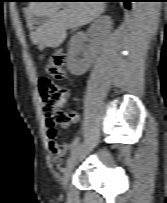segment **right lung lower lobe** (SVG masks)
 I'll return each mask as SVG.
<instances>
[{
    "mask_svg": "<svg viewBox=\"0 0 167 203\" xmlns=\"http://www.w3.org/2000/svg\"><path fill=\"white\" fill-rule=\"evenodd\" d=\"M102 1H110V2H124L127 8H130V2L133 0H102Z\"/></svg>",
    "mask_w": 167,
    "mask_h": 203,
    "instance_id": "1",
    "label": "right lung lower lobe"
}]
</instances>
